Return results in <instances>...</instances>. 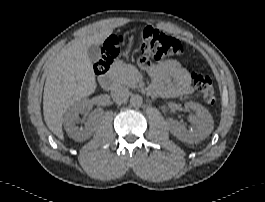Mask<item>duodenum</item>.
Instances as JSON below:
<instances>
[{
	"label": "duodenum",
	"mask_w": 265,
	"mask_h": 202,
	"mask_svg": "<svg viewBox=\"0 0 265 202\" xmlns=\"http://www.w3.org/2000/svg\"><path fill=\"white\" fill-rule=\"evenodd\" d=\"M99 84L103 89L110 90L115 85V76L112 73H108L100 79Z\"/></svg>",
	"instance_id": "obj_1"
}]
</instances>
